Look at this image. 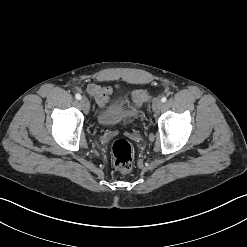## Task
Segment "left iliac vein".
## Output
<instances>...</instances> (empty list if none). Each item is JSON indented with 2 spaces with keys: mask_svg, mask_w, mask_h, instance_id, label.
Listing matches in <instances>:
<instances>
[{
  "mask_svg": "<svg viewBox=\"0 0 247 247\" xmlns=\"http://www.w3.org/2000/svg\"><path fill=\"white\" fill-rule=\"evenodd\" d=\"M162 107V101L160 99H155L152 104V109L154 111L160 110Z\"/></svg>",
  "mask_w": 247,
  "mask_h": 247,
  "instance_id": "obj_1",
  "label": "left iliac vein"
}]
</instances>
